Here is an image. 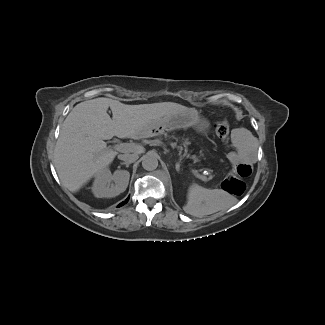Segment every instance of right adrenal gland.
<instances>
[{
	"label": "right adrenal gland",
	"instance_id": "2a0ac1e0",
	"mask_svg": "<svg viewBox=\"0 0 325 325\" xmlns=\"http://www.w3.org/2000/svg\"><path fill=\"white\" fill-rule=\"evenodd\" d=\"M120 165H125L127 168L129 167V163H126V162H122V163H120ZM119 168H120V166H119Z\"/></svg>",
	"mask_w": 325,
	"mask_h": 325
}]
</instances>
